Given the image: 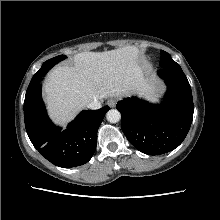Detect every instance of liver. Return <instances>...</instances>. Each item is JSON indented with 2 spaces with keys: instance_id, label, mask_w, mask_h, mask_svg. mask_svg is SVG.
Returning a JSON list of instances; mask_svg holds the SVG:
<instances>
[{
  "instance_id": "1",
  "label": "liver",
  "mask_w": 220,
  "mask_h": 220,
  "mask_svg": "<svg viewBox=\"0 0 220 220\" xmlns=\"http://www.w3.org/2000/svg\"><path fill=\"white\" fill-rule=\"evenodd\" d=\"M134 46L82 52L73 66H58L47 76L44 92L51 118L66 124L89 103L113 96H127L144 85L143 68Z\"/></svg>"
}]
</instances>
